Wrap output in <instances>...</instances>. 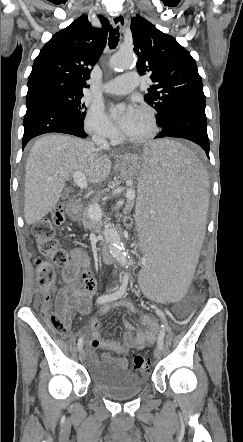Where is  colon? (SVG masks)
Instances as JSON below:
<instances>
[{
	"label": "colon",
	"instance_id": "1",
	"mask_svg": "<svg viewBox=\"0 0 243 442\" xmlns=\"http://www.w3.org/2000/svg\"><path fill=\"white\" fill-rule=\"evenodd\" d=\"M65 212L63 207L57 206L51 216V219L38 221L33 226V235L38 250L48 257H50L53 264L57 266L65 265L68 261L66 251L61 248L58 239L55 237L54 226H60L65 222ZM123 227L126 230L131 229L134 215L132 213H124L122 215ZM37 267V286L41 299V314L45 321H47L58 333L61 335H68L69 325L65 313L53 307L52 292L56 282V276L51 263L42 259L35 261ZM205 265L202 262L197 263L194 272V277L191 280L193 285L199 284V279L202 277ZM150 356H143L136 354L133 357V368L140 373H147L151 366Z\"/></svg>",
	"mask_w": 243,
	"mask_h": 442
}]
</instances>
